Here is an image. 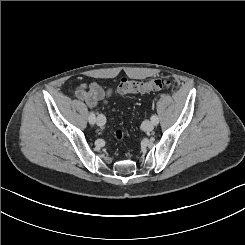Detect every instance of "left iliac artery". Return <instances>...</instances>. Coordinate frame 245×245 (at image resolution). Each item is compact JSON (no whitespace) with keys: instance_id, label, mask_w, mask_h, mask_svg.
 Returning a JSON list of instances; mask_svg holds the SVG:
<instances>
[{"instance_id":"obj_1","label":"left iliac artery","mask_w":245,"mask_h":245,"mask_svg":"<svg viewBox=\"0 0 245 245\" xmlns=\"http://www.w3.org/2000/svg\"><path fill=\"white\" fill-rule=\"evenodd\" d=\"M151 121H152L155 125L158 124L159 119H158V117H157L156 114H153V115L151 116Z\"/></svg>"}]
</instances>
